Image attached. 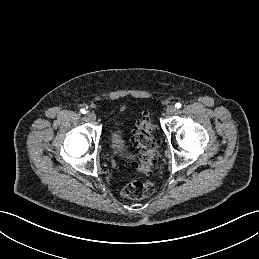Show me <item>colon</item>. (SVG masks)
<instances>
[{"label":"colon","mask_w":259,"mask_h":259,"mask_svg":"<svg viewBox=\"0 0 259 259\" xmlns=\"http://www.w3.org/2000/svg\"><path fill=\"white\" fill-rule=\"evenodd\" d=\"M139 157L138 170L148 174L155 162V126L149 115H144L136 127L133 142ZM154 191L149 180H135L127 184L121 191L122 196L139 200L148 197Z\"/></svg>","instance_id":"5ec220e1"}]
</instances>
